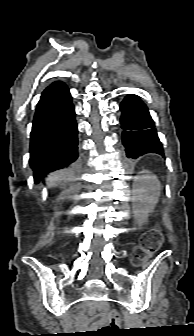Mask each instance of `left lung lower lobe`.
Wrapping results in <instances>:
<instances>
[{
	"mask_svg": "<svg viewBox=\"0 0 194 336\" xmlns=\"http://www.w3.org/2000/svg\"><path fill=\"white\" fill-rule=\"evenodd\" d=\"M120 110L126 156L136 159L146 153H156L164 157L163 147L146 105L136 95H128L120 104Z\"/></svg>",
	"mask_w": 194,
	"mask_h": 336,
	"instance_id": "0a47b994",
	"label": "left lung lower lobe"
}]
</instances>
